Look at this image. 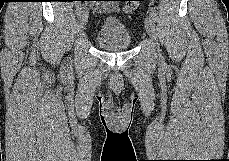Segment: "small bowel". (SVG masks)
Instances as JSON below:
<instances>
[{
	"label": "small bowel",
	"instance_id": "small-bowel-1",
	"mask_svg": "<svg viewBox=\"0 0 229 161\" xmlns=\"http://www.w3.org/2000/svg\"><path fill=\"white\" fill-rule=\"evenodd\" d=\"M117 1H105L104 2V11L105 12H113L118 10V5L116 4Z\"/></svg>",
	"mask_w": 229,
	"mask_h": 161
}]
</instances>
